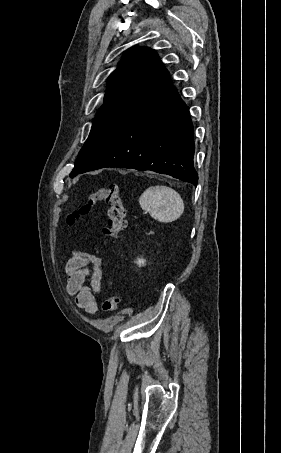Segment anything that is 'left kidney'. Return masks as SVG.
I'll return each mask as SVG.
<instances>
[{"label": "left kidney", "mask_w": 281, "mask_h": 453, "mask_svg": "<svg viewBox=\"0 0 281 453\" xmlns=\"http://www.w3.org/2000/svg\"><path fill=\"white\" fill-rule=\"evenodd\" d=\"M137 265H144L145 261L144 259H138V261H136Z\"/></svg>", "instance_id": "obj_1"}]
</instances>
